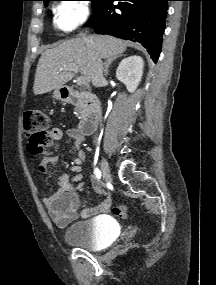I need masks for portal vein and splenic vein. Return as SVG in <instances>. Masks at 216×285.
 <instances>
[{
    "mask_svg": "<svg viewBox=\"0 0 216 285\" xmlns=\"http://www.w3.org/2000/svg\"><path fill=\"white\" fill-rule=\"evenodd\" d=\"M62 70H69V71H73V72L77 73L78 67L76 65H70V66H67V67L61 69L60 71H62ZM85 83H86V79L84 76H80L77 78V84L78 85H83Z\"/></svg>",
    "mask_w": 216,
    "mask_h": 285,
    "instance_id": "obj_1",
    "label": "portal vein and splenic vein"
}]
</instances>
